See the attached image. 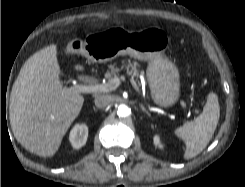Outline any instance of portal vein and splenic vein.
<instances>
[{"label":"portal vein and splenic vein","instance_id":"portal-vein-and-splenic-vein-1","mask_svg":"<svg viewBox=\"0 0 245 187\" xmlns=\"http://www.w3.org/2000/svg\"><path fill=\"white\" fill-rule=\"evenodd\" d=\"M125 77L121 76H115L112 78L109 82L104 83V84H96V85H75L72 88L73 91L78 92V93H94V92H110L115 90L121 83V81H124ZM130 83L134 87V89L139 92V87L134 79L133 76L129 78ZM180 104L186 108L190 109L189 106L186 105L184 102H180ZM161 111V110H159Z\"/></svg>","mask_w":245,"mask_h":187}]
</instances>
